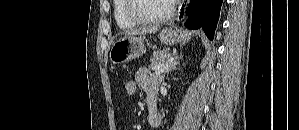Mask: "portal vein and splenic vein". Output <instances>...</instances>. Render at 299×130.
<instances>
[{
  "mask_svg": "<svg viewBox=\"0 0 299 130\" xmlns=\"http://www.w3.org/2000/svg\"><path fill=\"white\" fill-rule=\"evenodd\" d=\"M173 59H174L173 57H170V58L167 60V62H166L165 65H163V66H161V67H159V68H157V69L155 70V74H156V75H160V74H162V73L166 70V68L172 63Z\"/></svg>",
  "mask_w": 299,
  "mask_h": 130,
  "instance_id": "18ae733b",
  "label": "portal vein and splenic vein"
}]
</instances>
